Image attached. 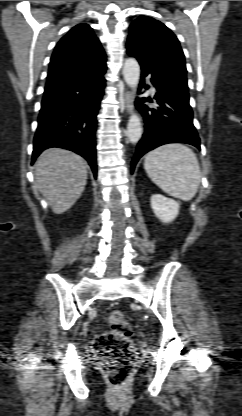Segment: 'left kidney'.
Instances as JSON below:
<instances>
[{"label":"left kidney","mask_w":242,"mask_h":416,"mask_svg":"<svg viewBox=\"0 0 242 416\" xmlns=\"http://www.w3.org/2000/svg\"><path fill=\"white\" fill-rule=\"evenodd\" d=\"M151 208L163 223L172 222L179 213V203L160 194L152 195Z\"/></svg>","instance_id":"left-kidney-1"}]
</instances>
